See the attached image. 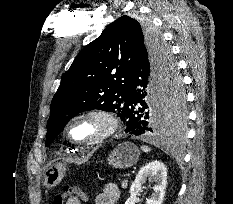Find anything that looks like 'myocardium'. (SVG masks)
<instances>
[{"mask_svg":"<svg viewBox=\"0 0 233 204\" xmlns=\"http://www.w3.org/2000/svg\"><path fill=\"white\" fill-rule=\"evenodd\" d=\"M97 120L100 121L104 128L96 136L86 139V140H76L72 137L70 129L78 121L81 120ZM119 129V120L112 112L104 109H89L72 116L69 121L66 123L64 132L66 137L75 144L80 145H93L101 143L106 139L113 136Z\"/></svg>","mask_w":233,"mask_h":204,"instance_id":"myocardium-1","label":"myocardium"}]
</instances>
